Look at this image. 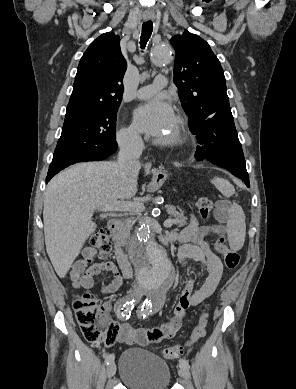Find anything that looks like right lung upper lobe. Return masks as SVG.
<instances>
[{
  "label": "right lung upper lobe",
  "instance_id": "obj_1",
  "mask_svg": "<svg viewBox=\"0 0 296 389\" xmlns=\"http://www.w3.org/2000/svg\"><path fill=\"white\" fill-rule=\"evenodd\" d=\"M119 43V36L108 32L95 39L85 51L78 65L65 119L120 105L127 64Z\"/></svg>",
  "mask_w": 296,
  "mask_h": 389
}]
</instances>
